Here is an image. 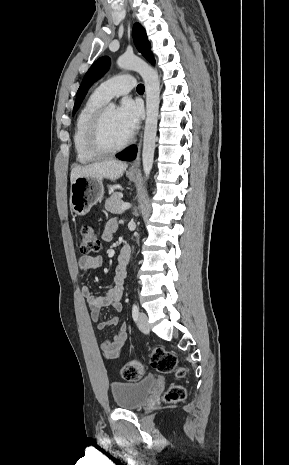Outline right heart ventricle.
<instances>
[{
  "label": "right heart ventricle",
  "mask_w": 289,
  "mask_h": 465,
  "mask_svg": "<svg viewBox=\"0 0 289 465\" xmlns=\"http://www.w3.org/2000/svg\"><path fill=\"white\" fill-rule=\"evenodd\" d=\"M105 102L106 100L102 99L95 91L87 99L77 115L73 133V145L76 158L81 163L93 162L100 157V155H96L89 150L86 136L92 116Z\"/></svg>",
  "instance_id": "right-heart-ventricle-1"
}]
</instances>
